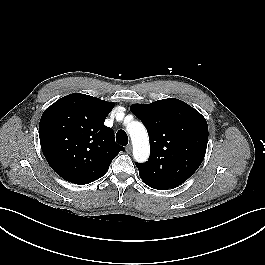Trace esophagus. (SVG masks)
Listing matches in <instances>:
<instances>
[{
	"label": "esophagus",
	"instance_id": "esophagus-1",
	"mask_svg": "<svg viewBox=\"0 0 265 265\" xmlns=\"http://www.w3.org/2000/svg\"><path fill=\"white\" fill-rule=\"evenodd\" d=\"M131 151H132V145L129 144L126 146V152L129 154V153H131Z\"/></svg>",
	"mask_w": 265,
	"mask_h": 265
}]
</instances>
